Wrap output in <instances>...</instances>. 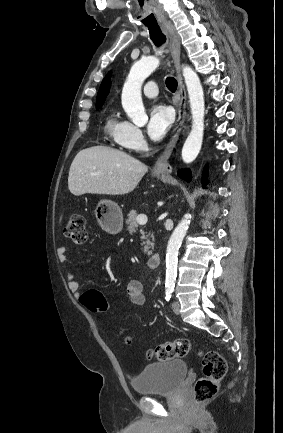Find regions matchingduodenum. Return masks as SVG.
Returning a JSON list of instances; mask_svg holds the SVG:
<instances>
[{
    "mask_svg": "<svg viewBox=\"0 0 283 433\" xmlns=\"http://www.w3.org/2000/svg\"><path fill=\"white\" fill-rule=\"evenodd\" d=\"M160 263H161V255L159 253L152 254L147 261V265L151 269L157 268L160 265Z\"/></svg>",
    "mask_w": 283,
    "mask_h": 433,
    "instance_id": "1",
    "label": "duodenum"
}]
</instances>
